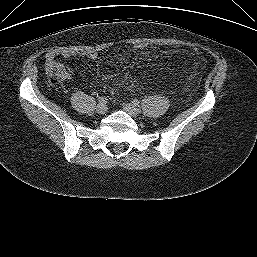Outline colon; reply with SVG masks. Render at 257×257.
I'll use <instances>...</instances> for the list:
<instances>
[{"label":"colon","instance_id":"1","mask_svg":"<svg viewBox=\"0 0 257 257\" xmlns=\"http://www.w3.org/2000/svg\"><path fill=\"white\" fill-rule=\"evenodd\" d=\"M148 47V44L144 42L135 43L133 45V49L138 52L145 51L148 49ZM46 70L52 83H61L66 78V71L64 67L56 61L47 63Z\"/></svg>","mask_w":257,"mask_h":257}]
</instances>
